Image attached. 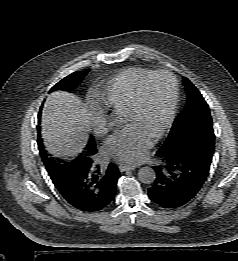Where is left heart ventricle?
I'll return each instance as SVG.
<instances>
[{"mask_svg": "<svg viewBox=\"0 0 238 261\" xmlns=\"http://www.w3.org/2000/svg\"><path fill=\"white\" fill-rule=\"evenodd\" d=\"M171 98L170 78L164 75L153 78L145 88L141 108L136 112L126 114V125L138 126L153 137L166 120Z\"/></svg>", "mask_w": 238, "mask_h": 261, "instance_id": "obj_1", "label": "left heart ventricle"}]
</instances>
